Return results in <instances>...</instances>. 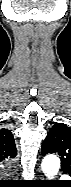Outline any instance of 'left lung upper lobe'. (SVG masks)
I'll return each instance as SVG.
<instances>
[{
	"label": "left lung upper lobe",
	"instance_id": "left-lung-upper-lobe-1",
	"mask_svg": "<svg viewBox=\"0 0 71 187\" xmlns=\"http://www.w3.org/2000/svg\"><path fill=\"white\" fill-rule=\"evenodd\" d=\"M41 152L43 155L58 154L64 174L71 173V127L55 123L43 142Z\"/></svg>",
	"mask_w": 71,
	"mask_h": 187
}]
</instances>
